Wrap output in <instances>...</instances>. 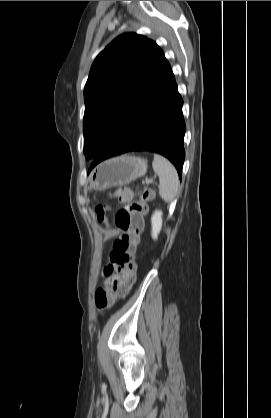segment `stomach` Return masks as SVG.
<instances>
[{
	"mask_svg": "<svg viewBox=\"0 0 271 418\" xmlns=\"http://www.w3.org/2000/svg\"><path fill=\"white\" fill-rule=\"evenodd\" d=\"M147 161L143 158L122 155L97 165L89 175L90 188L102 191L115 186H124L147 172Z\"/></svg>",
	"mask_w": 271,
	"mask_h": 418,
	"instance_id": "obj_1",
	"label": "stomach"
}]
</instances>
